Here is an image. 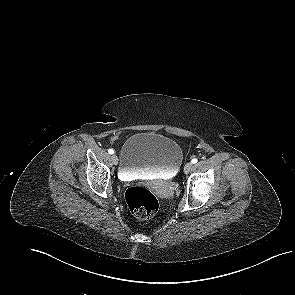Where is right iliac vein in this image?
<instances>
[{"instance_id": "obj_1", "label": "right iliac vein", "mask_w": 295, "mask_h": 295, "mask_svg": "<svg viewBox=\"0 0 295 295\" xmlns=\"http://www.w3.org/2000/svg\"><path fill=\"white\" fill-rule=\"evenodd\" d=\"M111 159L114 165L118 164V157L116 155H112Z\"/></svg>"}]
</instances>
